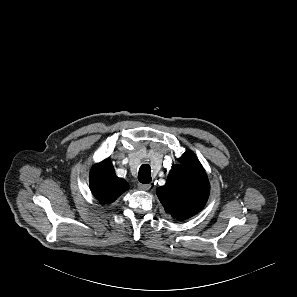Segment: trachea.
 Here are the masks:
<instances>
[{
    "label": "trachea",
    "mask_w": 297,
    "mask_h": 297,
    "mask_svg": "<svg viewBox=\"0 0 297 297\" xmlns=\"http://www.w3.org/2000/svg\"><path fill=\"white\" fill-rule=\"evenodd\" d=\"M138 179L142 184L151 182V167L148 164L141 165L138 173Z\"/></svg>",
    "instance_id": "obj_1"
}]
</instances>
